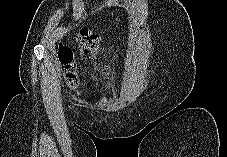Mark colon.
<instances>
[{"mask_svg": "<svg viewBox=\"0 0 227 157\" xmlns=\"http://www.w3.org/2000/svg\"><path fill=\"white\" fill-rule=\"evenodd\" d=\"M77 42L81 46L82 54L91 58L96 49L99 38L88 29H81L77 34ZM59 61L67 84L75 87L79 82V64L74 52L68 47L59 48Z\"/></svg>", "mask_w": 227, "mask_h": 157, "instance_id": "colon-1", "label": "colon"}]
</instances>
